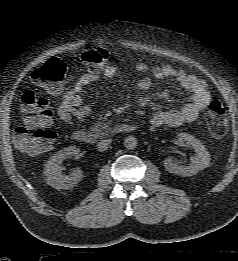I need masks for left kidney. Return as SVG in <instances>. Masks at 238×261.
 I'll return each instance as SVG.
<instances>
[{
	"label": "left kidney",
	"mask_w": 238,
	"mask_h": 261,
	"mask_svg": "<svg viewBox=\"0 0 238 261\" xmlns=\"http://www.w3.org/2000/svg\"><path fill=\"white\" fill-rule=\"evenodd\" d=\"M179 140L184 141L189 147L193 148L196 152L195 156L192 158L189 166H179L174 163L172 157H167L164 160V167L166 171L185 177L193 176L199 171L207 168L210 163V155L205 146L194 136L181 133L179 134Z\"/></svg>",
	"instance_id": "1"
}]
</instances>
